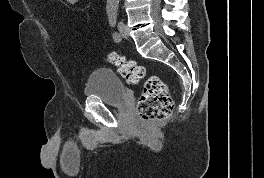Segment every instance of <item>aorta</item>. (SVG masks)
I'll list each match as a JSON object with an SVG mask.
<instances>
[{
	"instance_id": "obj_1",
	"label": "aorta",
	"mask_w": 264,
	"mask_h": 178,
	"mask_svg": "<svg viewBox=\"0 0 264 178\" xmlns=\"http://www.w3.org/2000/svg\"><path fill=\"white\" fill-rule=\"evenodd\" d=\"M119 6V0H107L106 9L107 12L114 11L116 12L118 10Z\"/></svg>"
}]
</instances>
